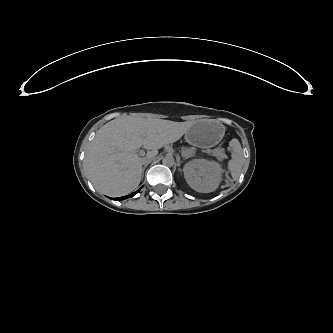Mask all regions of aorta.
Instances as JSON below:
<instances>
[{
	"mask_svg": "<svg viewBox=\"0 0 333 333\" xmlns=\"http://www.w3.org/2000/svg\"><path fill=\"white\" fill-rule=\"evenodd\" d=\"M163 165L167 167H172L175 164V159L172 154H167L163 159H162Z\"/></svg>",
	"mask_w": 333,
	"mask_h": 333,
	"instance_id": "762f6f07",
	"label": "aorta"
}]
</instances>
